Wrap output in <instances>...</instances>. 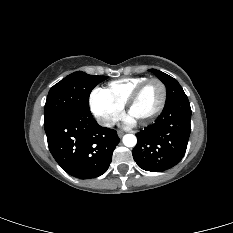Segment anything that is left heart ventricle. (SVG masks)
Here are the masks:
<instances>
[{
	"mask_svg": "<svg viewBox=\"0 0 233 233\" xmlns=\"http://www.w3.org/2000/svg\"><path fill=\"white\" fill-rule=\"evenodd\" d=\"M162 90L158 83H149L132 106L129 116L141 121L152 115L161 102Z\"/></svg>",
	"mask_w": 233,
	"mask_h": 233,
	"instance_id": "obj_1",
	"label": "left heart ventricle"
}]
</instances>
